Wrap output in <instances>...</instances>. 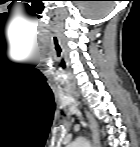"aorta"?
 Returning <instances> with one entry per match:
<instances>
[{
	"instance_id": "obj_1",
	"label": "aorta",
	"mask_w": 140,
	"mask_h": 147,
	"mask_svg": "<svg viewBox=\"0 0 140 147\" xmlns=\"http://www.w3.org/2000/svg\"><path fill=\"white\" fill-rule=\"evenodd\" d=\"M72 147H90L91 143L86 139H78L71 144Z\"/></svg>"
}]
</instances>
